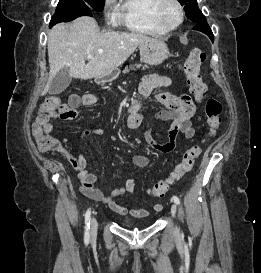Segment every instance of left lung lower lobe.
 I'll list each match as a JSON object with an SVG mask.
<instances>
[{
  "label": "left lung lower lobe",
  "mask_w": 261,
  "mask_h": 273,
  "mask_svg": "<svg viewBox=\"0 0 261 273\" xmlns=\"http://www.w3.org/2000/svg\"><path fill=\"white\" fill-rule=\"evenodd\" d=\"M193 29L195 30H198V31H201L203 33H205L206 35L209 36V38L213 41L214 40V36H213V33L207 23V21H202V22H199L197 24H195V26L193 27Z\"/></svg>",
  "instance_id": "0a47b994"
}]
</instances>
